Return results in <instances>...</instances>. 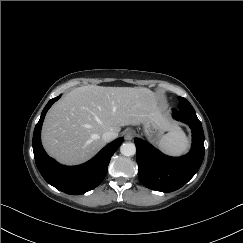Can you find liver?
I'll return each mask as SVG.
<instances>
[{
    "mask_svg": "<svg viewBox=\"0 0 243 243\" xmlns=\"http://www.w3.org/2000/svg\"><path fill=\"white\" fill-rule=\"evenodd\" d=\"M156 108L147 88L86 85L75 88L48 111L42 127L46 152L67 165L83 163L106 142L102 134L140 125Z\"/></svg>",
    "mask_w": 243,
    "mask_h": 243,
    "instance_id": "1",
    "label": "liver"
}]
</instances>
